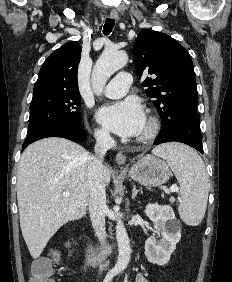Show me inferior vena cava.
I'll return each instance as SVG.
<instances>
[{
  "label": "inferior vena cava",
  "instance_id": "obj_1",
  "mask_svg": "<svg viewBox=\"0 0 232 282\" xmlns=\"http://www.w3.org/2000/svg\"><path fill=\"white\" fill-rule=\"evenodd\" d=\"M95 138V156H89L87 160L89 214L96 236L101 245H105L107 206L102 160L107 151L114 145V140L107 131L97 132Z\"/></svg>",
  "mask_w": 232,
  "mask_h": 282
}]
</instances>
